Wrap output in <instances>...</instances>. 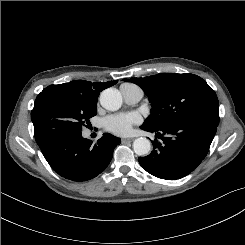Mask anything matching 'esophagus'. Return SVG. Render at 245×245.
Returning <instances> with one entry per match:
<instances>
[{"mask_svg":"<svg viewBox=\"0 0 245 245\" xmlns=\"http://www.w3.org/2000/svg\"><path fill=\"white\" fill-rule=\"evenodd\" d=\"M121 141L122 143H128V142L133 141V138H122Z\"/></svg>","mask_w":245,"mask_h":245,"instance_id":"34e87169","label":"esophagus"}]
</instances>
